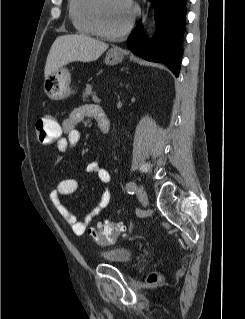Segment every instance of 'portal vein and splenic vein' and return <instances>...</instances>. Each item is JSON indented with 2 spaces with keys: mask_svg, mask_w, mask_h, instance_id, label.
<instances>
[{
  "mask_svg": "<svg viewBox=\"0 0 245 319\" xmlns=\"http://www.w3.org/2000/svg\"><path fill=\"white\" fill-rule=\"evenodd\" d=\"M93 100L95 101V102H97V101H99V98L96 96V95H93Z\"/></svg>",
  "mask_w": 245,
  "mask_h": 319,
  "instance_id": "18ae733b",
  "label": "portal vein and splenic vein"
}]
</instances>
